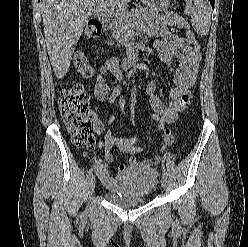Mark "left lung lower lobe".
Returning a JSON list of instances; mask_svg holds the SVG:
<instances>
[{
    "instance_id": "left-lung-lower-lobe-1",
    "label": "left lung lower lobe",
    "mask_w": 248,
    "mask_h": 247,
    "mask_svg": "<svg viewBox=\"0 0 248 247\" xmlns=\"http://www.w3.org/2000/svg\"><path fill=\"white\" fill-rule=\"evenodd\" d=\"M209 1H210L211 5H212V8H214V2H215V0H209Z\"/></svg>"
}]
</instances>
